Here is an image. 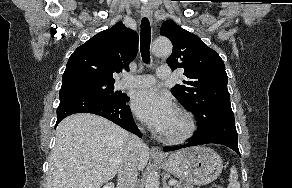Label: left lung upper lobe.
<instances>
[{
  "label": "left lung upper lobe",
  "instance_id": "1",
  "mask_svg": "<svg viewBox=\"0 0 292 188\" xmlns=\"http://www.w3.org/2000/svg\"><path fill=\"white\" fill-rule=\"evenodd\" d=\"M161 33L173 44L167 64L172 70L184 69V85L176 84L171 92L194 114L198 129L220 117L233 115L228 77L218 53L172 20L163 23Z\"/></svg>",
  "mask_w": 292,
  "mask_h": 188
}]
</instances>
